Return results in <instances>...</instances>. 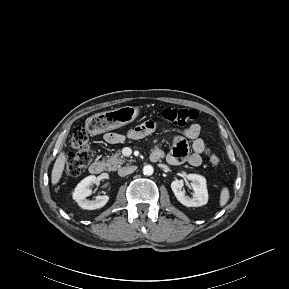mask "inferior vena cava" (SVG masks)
Here are the masks:
<instances>
[{
  "label": "inferior vena cava",
  "instance_id": "1",
  "mask_svg": "<svg viewBox=\"0 0 289 289\" xmlns=\"http://www.w3.org/2000/svg\"><path fill=\"white\" fill-rule=\"evenodd\" d=\"M137 169L136 166H127V167H122L118 170V175L123 177L128 174L133 173Z\"/></svg>",
  "mask_w": 289,
  "mask_h": 289
}]
</instances>
